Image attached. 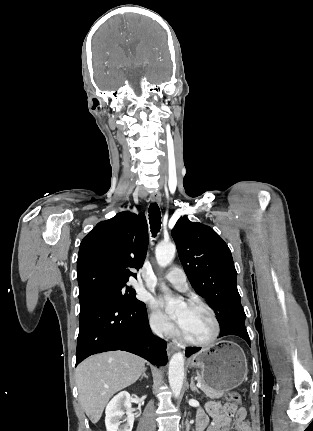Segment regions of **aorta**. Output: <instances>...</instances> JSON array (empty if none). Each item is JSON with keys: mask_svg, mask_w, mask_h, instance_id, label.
<instances>
[{"mask_svg": "<svg viewBox=\"0 0 313 431\" xmlns=\"http://www.w3.org/2000/svg\"><path fill=\"white\" fill-rule=\"evenodd\" d=\"M176 247L174 244H163L156 248V260L160 267H166L171 263L175 256ZM162 289L165 293L166 310L172 312L178 306L179 301L175 300L168 292V289L163 285ZM169 384L172 393L178 397L181 393L183 378H184V356L181 352L174 353L169 362Z\"/></svg>", "mask_w": 313, "mask_h": 431, "instance_id": "aorta-1", "label": "aorta"}]
</instances>
